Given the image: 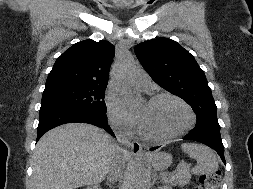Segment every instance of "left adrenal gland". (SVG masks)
<instances>
[{"instance_id":"obj_1","label":"left adrenal gland","mask_w":253,"mask_h":189,"mask_svg":"<svg viewBox=\"0 0 253 189\" xmlns=\"http://www.w3.org/2000/svg\"><path fill=\"white\" fill-rule=\"evenodd\" d=\"M158 179L157 174L154 175V181H156Z\"/></svg>"}]
</instances>
